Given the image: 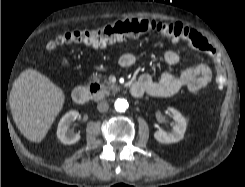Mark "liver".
Wrapping results in <instances>:
<instances>
[{
  "instance_id": "obj_1",
  "label": "liver",
  "mask_w": 245,
  "mask_h": 187,
  "mask_svg": "<svg viewBox=\"0 0 245 187\" xmlns=\"http://www.w3.org/2000/svg\"><path fill=\"white\" fill-rule=\"evenodd\" d=\"M64 101L61 88L33 69L23 71L14 81L9 99L17 128L36 143L45 138Z\"/></svg>"
}]
</instances>
